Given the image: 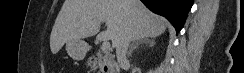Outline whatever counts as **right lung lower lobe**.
<instances>
[{
  "label": "right lung lower lobe",
  "instance_id": "right-lung-lower-lobe-1",
  "mask_svg": "<svg viewBox=\"0 0 244 73\" xmlns=\"http://www.w3.org/2000/svg\"><path fill=\"white\" fill-rule=\"evenodd\" d=\"M146 7L156 14L167 18L174 26L175 30L180 32L187 14L191 9L193 0H141Z\"/></svg>",
  "mask_w": 244,
  "mask_h": 73
}]
</instances>
